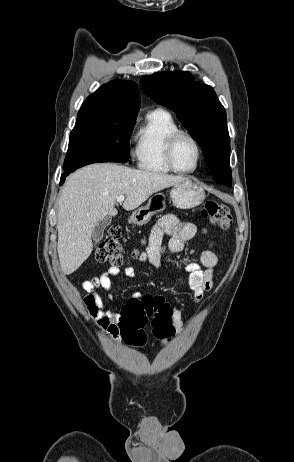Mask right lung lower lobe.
<instances>
[{"label":"right lung lower lobe","instance_id":"98d812e1","mask_svg":"<svg viewBox=\"0 0 294 462\" xmlns=\"http://www.w3.org/2000/svg\"><path fill=\"white\" fill-rule=\"evenodd\" d=\"M71 172H68V173H63L61 175V180H60V185H62L66 179V177L70 174Z\"/></svg>","mask_w":294,"mask_h":462}]
</instances>
